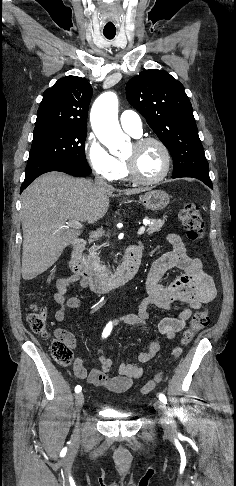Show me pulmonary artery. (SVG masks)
<instances>
[{
	"label": "pulmonary artery",
	"instance_id": "e3ab8cb5",
	"mask_svg": "<svg viewBox=\"0 0 236 486\" xmlns=\"http://www.w3.org/2000/svg\"><path fill=\"white\" fill-rule=\"evenodd\" d=\"M121 127L134 137L142 134V122L139 115L132 110H125L120 115Z\"/></svg>",
	"mask_w": 236,
	"mask_h": 486
}]
</instances>
